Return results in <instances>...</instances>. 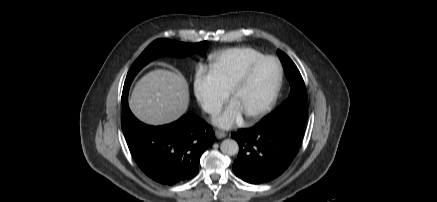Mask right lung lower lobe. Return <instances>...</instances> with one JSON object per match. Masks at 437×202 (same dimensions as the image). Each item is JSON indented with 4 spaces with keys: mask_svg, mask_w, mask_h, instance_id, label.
<instances>
[{
    "mask_svg": "<svg viewBox=\"0 0 437 202\" xmlns=\"http://www.w3.org/2000/svg\"><path fill=\"white\" fill-rule=\"evenodd\" d=\"M122 105L126 142L148 177L160 184L173 185L196 176L203 151L215 140L210 125L190 112L173 123L150 126L134 117L128 101Z\"/></svg>",
    "mask_w": 437,
    "mask_h": 202,
    "instance_id": "1",
    "label": "right lung lower lobe"
}]
</instances>
